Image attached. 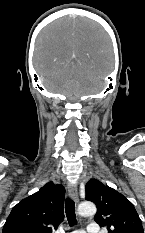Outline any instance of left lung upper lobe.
Returning a JSON list of instances; mask_svg holds the SVG:
<instances>
[{
    "label": "left lung upper lobe",
    "mask_w": 145,
    "mask_h": 233,
    "mask_svg": "<svg viewBox=\"0 0 145 233\" xmlns=\"http://www.w3.org/2000/svg\"><path fill=\"white\" fill-rule=\"evenodd\" d=\"M86 199L97 206L95 222L106 226L108 233H144L132 203L121 193L91 179L85 187Z\"/></svg>",
    "instance_id": "5c2ea615"
}]
</instances>
